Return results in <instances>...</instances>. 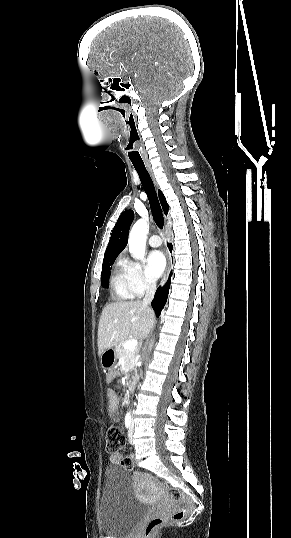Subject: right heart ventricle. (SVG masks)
I'll return each mask as SVG.
<instances>
[{"label":"right heart ventricle","mask_w":291,"mask_h":538,"mask_svg":"<svg viewBox=\"0 0 291 538\" xmlns=\"http://www.w3.org/2000/svg\"><path fill=\"white\" fill-rule=\"evenodd\" d=\"M111 286L117 300L127 301L136 296L131 288L126 267L122 261L117 262L113 267Z\"/></svg>","instance_id":"right-heart-ventricle-1"}]
</instances>
